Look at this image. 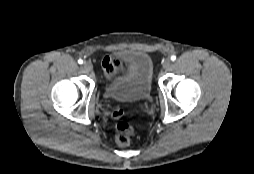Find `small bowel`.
Instances as JSON below:
<instances>
[{"label":"small bowel","instance_id":"obj_1","mask_svg":"<svg viewBox=\"0 0 254 174\" xmlns=\"http://www.w3.org/2000/svg\"><path fill=\"white\" fill-rule=\"evenodd\" d=\"M105 75L108 80L113 79L118 74H121L124 71V67L117 61H112L109 57H106L103 62ZM112 115H116V111L112 112Z\"/></svg>","mask_w":254,"mask_h":174}]
</instances>
